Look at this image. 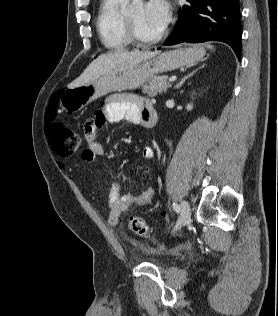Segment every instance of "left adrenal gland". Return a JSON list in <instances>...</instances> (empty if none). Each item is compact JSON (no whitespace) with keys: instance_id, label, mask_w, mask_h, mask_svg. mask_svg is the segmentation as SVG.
I'll list each match as a JSON object with an SVG mask.
<instances>
[{"instance_id":"a2214340","label":"left adrenal gland","mask_w":278,"mask_h":316,"mask_svg":"<svg viewBox=\"0 0 278 316\" xmlns=\"http://www.w3.org/2000/svg\"><path fill=\"white\" fill-rule=\"evenodd\" d=\"M205 66V64L201 65L199 68H197L196 70H194L193 72H191L190 74H188L187 76L183 77L182 80L176 84V86L174 87L175 89H179L184 82L189 79L190 77H192L199 69L203 68Z\"/></svg>"}]
</instances>
